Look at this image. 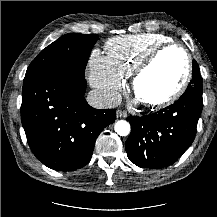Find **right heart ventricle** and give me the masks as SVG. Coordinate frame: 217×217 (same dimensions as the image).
<instances>
[{"label": "right heart ventricle", "mask_w": 217, "mask_h": 217, "mask_svg": "<svg viewBox=\"0 0 217 217\" xmlns=\"http://www.w3.org/2000/svg\"><path fill=\"white\" fill-rule=\"evenodd\" d=\"M170 42V37L156 33L117 36L106 42V58L115 73L128 78L151 51Z\"/></svg>", "instance_id": "1"}]
</instances>
